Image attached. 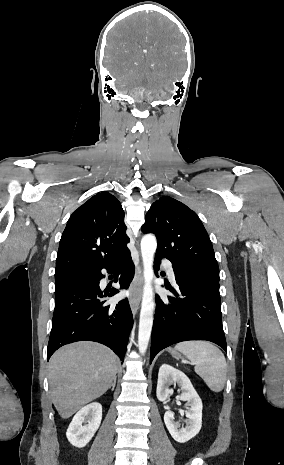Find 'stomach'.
I'll list each match as a JSON object with an SVG mask.
<instances>
[{
	"mask_svg": "<svg viewBox=\"0 0 284 465\" xmlns=\"http://www.w3.org/2000/svg\"><path fill=\"white\" fill-rule=\"evenodd\" d=\"M171 355H173L174 359H182L180 353H176V351H173V349H169Z\"/></svg>",
	"mask_w": 284,
	"mask_h": 465,
	"instance_id": "1",
	"label": "stomach"
}]
</instances>
